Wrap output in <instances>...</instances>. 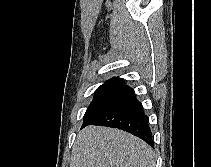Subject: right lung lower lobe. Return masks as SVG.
Instances as JSON below:
<instances>
[{
  "label": "right lung lower lobe",
  "mask_w": 211,
  "mask_h": 167,
  "mask_svg": "<svg viewBox=\"0 0 211 167\" xmlns=\"http://www.w3.org/2000/svg\"><path fill=\"white\" fill-rule=\"evenodd\" d=\"M87 125L119 128L143 139L150 146H154L149 118L144 113L143 106L137 100L132 88L109 105L95 119L84 123L82 128Z\"/></svg>",
  "instance_id": "1"
}]
</instances>
